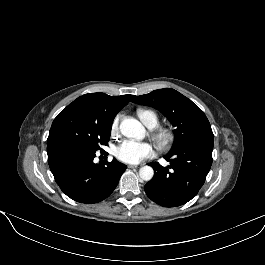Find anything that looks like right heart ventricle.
I'll return each instance as SVG.
<instances>
[{"label":"right heart ventricle","mask_w":265,"mask_h":265,"mask_svg":"<svg viewBox=\"0 0 265 265\" xmlns=\"http://www.w3.org/2000/svg\"><path fill=\"white\" fill-rule=\"evenodd\" d=\"M137 115L140 120L149 128H154L159 123L158 115L150 109L140 108L137 110Z\"/></svg>","instance_id":"e07e8e85"}]
</instances>
